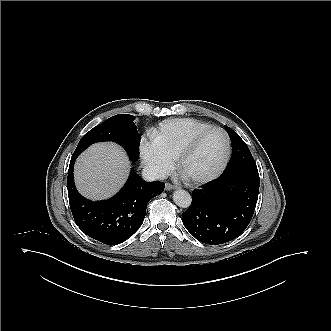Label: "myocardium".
Segmentation results:
<instances>
[{
    "mask_svg": "<svg viewBox=\"0 0 331 331\" xmlns=\"http://www.w3.org/2000/svg\"><path fill=\"white\" fill-rule=\"evenodd\" d=\"M215 131L220 132L224 138L225 147H224V153H223L222 160H221L220 164L208 175L187 177L189 179V181L192 183H197V184L207 183V182H210V181L216 179L219 175L222 174V172L225 170V168L229 162V158H230L229 136L224 129H222L220 127L211 126L209 128H206V129L196 133L185 143V145L183 146V148L181 149V151L178 154L177 169L179 172L184 174L183 165H184V162H185L186 158L188 157V155L194 150V148L196 147V145L198 144V142L201 140L202 137H204L205 135H207L211 132H215Z\"/></svg>",
    "mask_w": 331,
    "mask_h": 331,
    "instance_id": "myocardium-1",
    "label": "myocardium"
}]
</instances>
